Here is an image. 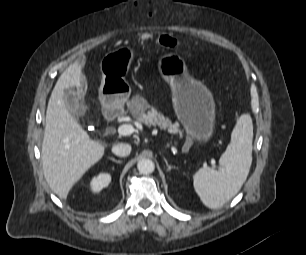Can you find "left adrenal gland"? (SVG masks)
I'll return each mask as SVG.
<instances>
[{
	"label": "left adrenal gland",
	"instance_id": "a2214340",
	"mask_svg": "<svg viewBox=\"0 0 306 255\" xmlns=\"http://www.w3.org/2000/svg\"><path fill=\"white\" fill-rule=\"evenodd\" d=\"M163 159H164V162L166 163L167 171L168 172L171 171L172 169H176L175 166H171V165L168 164V161H167V159L165 157H163Z\"/></svg>",
	"mask_w": 306,
	"mask_h": 255
}]
</instances>
